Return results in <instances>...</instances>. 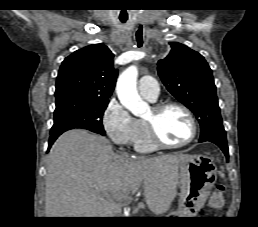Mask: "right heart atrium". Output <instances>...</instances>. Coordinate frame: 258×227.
Segmentation results:
<instances>
[{
  "instance_id": "1",
  "label": "right heart atrium",
  "mask_w": 258,
  "mask_h": 227,
  "mask_svg": "<svg viewBox=\"0 0 258 227\" xmlns=\"http://www.w3.org/2000/svg\"><path fill=\"white\" fill-rule=\"evenodd\" d=\"M102 125L109 138L117 145H132L140 133L137 119L117 100H111L102 118Z\"/></svg>"
}]
</instances>
